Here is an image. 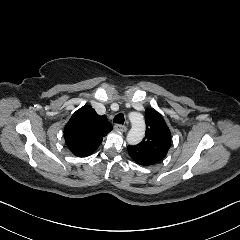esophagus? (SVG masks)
Instances as JSON below:
<instances>
[{"mask_svg":"<svg viewBox=\"0 0 240 240\" xmlns=\"http://www.w3.org/2000/svg\"><path fill=\"white\" fill-rule=\"evenodd\" d=\"M114 129L117 131H121V132H126L127 131V127L121 124H115L114 125Z\"/></svg>","mask_w":240,"mask_h":240,"instance_id":"esophagus-1","label":"esophagus"}]
</instances>
